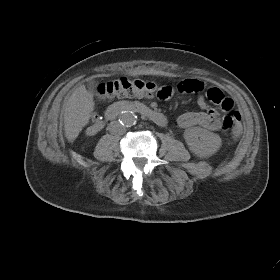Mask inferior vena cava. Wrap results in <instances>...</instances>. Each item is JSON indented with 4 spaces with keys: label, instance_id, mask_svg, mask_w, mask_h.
<instances>
[{
    "label": "inferior vena cava",
    "instance_id": "602c4592",
    "mask_svg": "<svg viewBox=\"0 0 280 280\" xmlns=\"http://www.w3.org/2000/svg\"><path fill=\"white\" fill-rule=\"evenodd\" d=\"M108 129L110 133L114 135H123L126 132V128L117 121H112Z\"/></svg>",
    "mask_w": 280,
    "mask_h": 280
}]
</instances>
